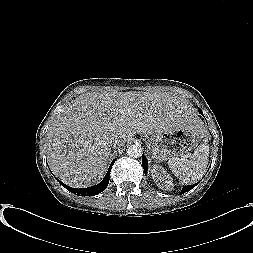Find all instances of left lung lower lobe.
<instances>
[{
  "label": "left lung lower lobe",
  "mask_w": 253,
  "mask_h": 253,
  "mask_svg": "<svg viewBox=\"0 0 253 253\" xmlns=\"http://www.w3.org/2000/svg\"><path fill=\"white\" fill-rule=\"evenodd\" d=\"M199 113L203 115L201 109H199ZM142 165H143L144 171H145V173H146V172H147V168H148V163H147V160H146V158H145L144 155H142ZM195 185H196V184H194V185H189V186H184L181 193L183 194V193H185V192H187V191L193 189V188L195 187Z\"/></svg>",
  "instance_id": "0a47b994"
}]
</instances>
